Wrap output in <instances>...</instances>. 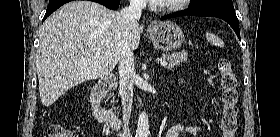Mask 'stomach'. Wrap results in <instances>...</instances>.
Listing matches in <instances>:
<instances>
[{
	"instance_id": "0dacf381",
	"label": "stomach",
	"mask_w": 280,
	"mask_h": 137,
	"mask_svg": "<svg viewBox=\"0 0 280 137\" xmlns=\"http://www.w3.org/2000/svg\"><path fill=\"white\" fill-rule=\"evenodd\" d=\"M148 36L154 46L162 51H174L184 41V34L180 27L169 21L151 25Z\"/></svg>"
}]
</instances>
